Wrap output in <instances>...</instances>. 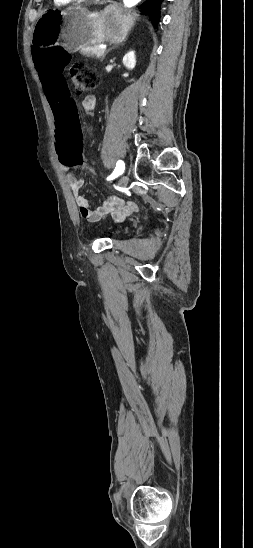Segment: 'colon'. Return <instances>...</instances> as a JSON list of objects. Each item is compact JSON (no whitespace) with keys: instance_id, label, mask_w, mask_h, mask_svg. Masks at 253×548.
<instances>
[{"instance_id":"5ec220e1","label":"colon","mask_w":253,"mask_h":548,"mask_svg":"<svg viewBox=\"0 0 253 548\" xmlns=\"http://www.w3.org/2000/svg\"><path fill=\"white\" fill-rule=\"evenodd\" d=\"M34 69L40 79V95L47 96V104L52 106V120L57 124L54 148L63 166H83L96 179L97 170L87 157L80 155V127L78 125L76 99L68 88L66 75V53L61 48L35 49ZM70 79L77 95H84L98 82L97 75L82 63H74L70 69Z\"/></svg>"}]
</instances>
